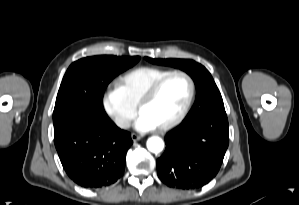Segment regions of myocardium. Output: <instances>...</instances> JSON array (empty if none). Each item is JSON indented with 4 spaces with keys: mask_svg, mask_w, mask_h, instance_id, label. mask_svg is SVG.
Segmentation results:
<instances>
[{
    "mask_svg": "<svg viewBox=\"0 0 299 205\" xmlns=\"http://www.w3.org/2000/svg\"><path fill=\"white\" fill-rule=\"evenodd\" d=\"M173 76H182L188 81L189 95H188L187 101H186L184 107L182 108V110L180 111V113L171 121L157 127V130H159V131H167V130H170V129L176 127L186 118L187 114L189 113V111L192 107V104L194 102V99H195V94H196V85H195V82H194L193 78L191 77V75L182 70L170 71L169 73H167V74L163 75L162 77H160L159 79H157L146 90V92L142 95L141 99L139 100V102L137 104V109H138V112L140 113L142 108L145 107L146 105H148L154 99V97L157 95L158 91L163 86V84Z\"/></svg>",
    "mask_w": 299,
    "mask_h": 205,
    "instance_id": "obj_1",
    "label": "myocardium"
}]
</instances>
